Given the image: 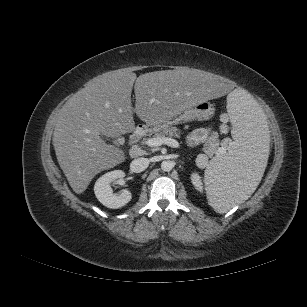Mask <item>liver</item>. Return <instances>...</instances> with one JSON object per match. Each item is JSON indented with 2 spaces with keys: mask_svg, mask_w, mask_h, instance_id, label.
<instances>
[{
  "mask_svg": "<svg viewBox=\"0 0 307 307\" xmlns=\"http://www.w3.org/2000/svg\"><path fill=\"white\" fill-rule=\"evenodd\" d=\"M134 85L135 108L131 93ZM220 77L182 68L149 72L115 70L89 82L61 108L53 133L58 163L71 188L83 193L103 170L125 159L124 152L106 144L101 135L115 138L135 129L133 113L144 122L164 121L185 108L227 95Z\"/></svg>",
  "mask_w": 307,
  "mask_h": 307,
  "instance_id": "6515ba94",
  "label": "liver"
}]
</instances>
